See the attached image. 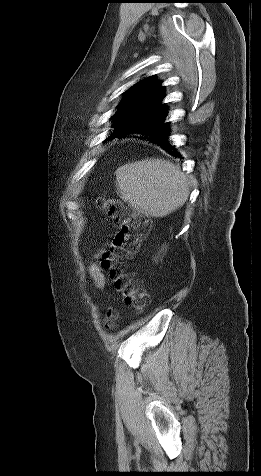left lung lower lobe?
Masks as SVG:
<instances>
[{"label":"left lung lower lobe","mask_w":261,"mask_h":476,"mask_svg":"<svg viewBox=\"0 0 261 476\" xmlns=\"http://www.w3.org/2000/svg\"><path fill=\"white\" fill-rule=\"evenodd\" d=\"M166 114H163L159 118L147 119L144 121H133L125 127L117 128L109 136L110 139L115 137H123L126 133H143L146 136H142L145 140H149L154 144L160 146L166 152L176 157H180L175 147L168 141V127L167 123H164Z\"/></svg>","instance_id":"left-lung-lower-lobe-1"}]
</instances>
